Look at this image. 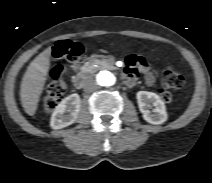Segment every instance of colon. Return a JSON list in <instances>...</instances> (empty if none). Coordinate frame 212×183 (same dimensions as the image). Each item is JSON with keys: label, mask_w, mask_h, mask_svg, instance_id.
<instances>
[{"label": "colon", "mask_w": 212, "mask_h": 183, "mask_svg": "<svg viewBox=\"0 0 212 183\" xmlns=\"http://www.w3.org/2000/svg\"><path fill=\"white\" fill-rule=\"evenodd\" d=\"M83 54V46L80 43L69 40L58 41L53 48V56L64 60L67 65L57 64L52 70V81L43 98V108L47 113L52 112L66 92L65 75L69 69L78 67ZM162 88L159 95L164 102H169L172 95L169 89L180 88L184 83L183 76L177 71L167 68L162 73Z\"/></svg>", "instance_id": "5ec220e1"}]
</instances>
